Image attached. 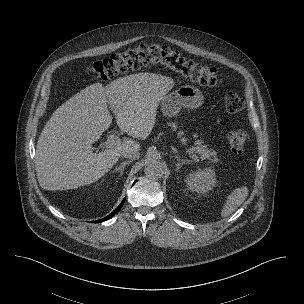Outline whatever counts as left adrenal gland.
<instances>
[{"label": "left adrenal gland", "instance_id": "left-adrenal-gland-1", "mask_svg": "<svg viewBox=\"0 0 304 304\" xmlns=\"http://www.w3.org/2000/svg\"><path fill=\"white\" fill-rule=\"evenodd\" d=\"M174 157L177 159L176 171H178L180 169V167L183 166L184 164L189 163V160L181 159L180 156H178V155H175Z\"/></svg>", "mask_w": 304, "mask_h": 304}]
</instances>
